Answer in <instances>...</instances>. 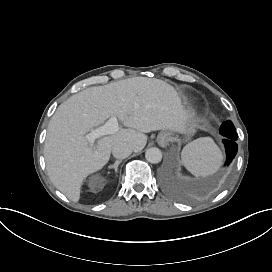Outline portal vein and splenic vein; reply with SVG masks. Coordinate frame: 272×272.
Returning a JSON list of instances; mask_svg holds the SVG:
<instances>
[{
  "label": "portal vein and splenic vein",
  "instance_id": "portal-vein-and-splenic-vein-1",
  "mask_svg": "<svg viewBox=\"0 0 272 272\" xmlns=\"http://www.w3.org/2000/svg\"><path fill=\"white\" fill-rule=\"evenodd\" d=\"M118 130L119 126L116 117H111L103 126H100L85 135L84 139L92 144L96 139L104 135L114 134Z\"/></svg>",
  "mask_w": 272,
  "mask_h": 272
}]
</instances>
